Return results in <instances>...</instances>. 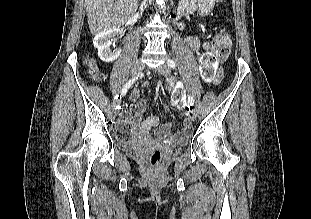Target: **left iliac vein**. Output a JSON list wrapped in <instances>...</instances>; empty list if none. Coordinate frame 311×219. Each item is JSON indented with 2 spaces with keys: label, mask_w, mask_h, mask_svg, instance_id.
<instances>
[{
  "label": "left iliac vein",
  "mask_w": 311,
  "mask_h": 219,
  "mask_svg": "<svg viewBox=\"0 0 311 219\" xmlns=\"http://www.w3.org/2000/svg\"><path fill=\"white\" fill-rule=\"evenodd\" d=\"M157 71H158V73H160L161 75H163V76H165V77H169V75H170V68H169V66H168L167 64H162V65H160V66L157 68ZM190 113H191L190 118H191L192 121H194L195 118H196L195 110L192 109V110L190 111Z\"/></svg>",
  "instance_id": "4c4485c4"
}]
</instances>
